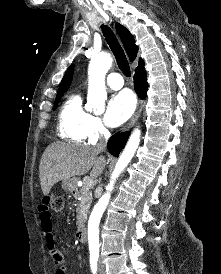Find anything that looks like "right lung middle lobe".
Returning a JSON list of instances; mask_svg holds the SVG:
<instances>
[{
	"instance_id": "1",
	"label": "right lung middle lobe",
	"mask_w": 221,
	"mask_h": 274,
	"mask_svg": "<svg viewBox=\"0 0 221 274\" xmlns=\"http://www.w3.org/2000/svg\"><path fill=\"white\" fill-rule=\"evenodd\" d=\"M62 96H63V94H60V95H57V97H56V99H55V102H54V110H55V108H56V106H57V104H58V102L60 101V99L62 98Z\"/></svg>"
}]
</instances>
